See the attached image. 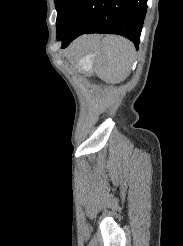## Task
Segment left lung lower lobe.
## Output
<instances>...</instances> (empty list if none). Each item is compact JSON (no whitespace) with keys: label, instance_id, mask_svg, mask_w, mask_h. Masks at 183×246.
Returning <instances> with one entry per match:
<instances>
[{"label":"left lung lower lobe","instance_id":"0a47b994","mask_svg":"<svg viewBox=\"0 0 183 246\" xmlns=\"http://www.w3.org/2000/svg\"><path fill=\"white\" fill-rule=\"evenodd\" d=\"M146 12L147 0H75L57 38L66 48L82 34H118L138 48Z\"/></svg>","mask_w":183,"mask_h":246}]
</instances>
